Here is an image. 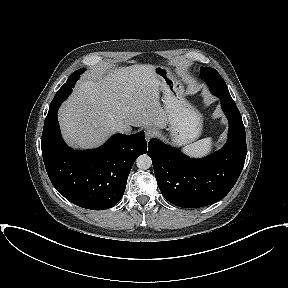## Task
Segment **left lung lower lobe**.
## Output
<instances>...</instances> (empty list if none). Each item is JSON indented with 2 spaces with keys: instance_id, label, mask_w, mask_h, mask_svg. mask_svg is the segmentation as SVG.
I'll return each mask as SVG.
<instances>
[{
  "instance_id": "obj_1",
  "label": "left lung lower lobe",
  "mask_w": 288,
  "mask_h": 288,
  "mask_svg": "<svg viewBox=\"0 0 288 288\" xmlns=\"http://www.w3.org/2000/svg\"><path fill=\"white\" fill-rule=\"evenodd\" d=\"M229 120L227 143L202 159H191L152 139L148 143L162 195L183 208H198L223 199L236 183L245 163L247 146L241 114L233 100L220 98Z\"/></svg>"
}]
</instances>
